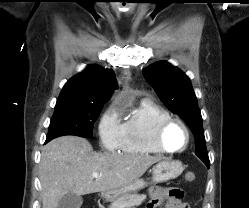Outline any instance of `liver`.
<instances>
[{
  "instance_id": "6515ba94",
  "label": "liver",
  "mask_w": 249,
  "mask_h": 208,
  "mask_svg": "<svg viewBox=\"0 0 249 208\" xmlns=\"http://www.w3.org/2000/svg\"><path fill=\"white\" fill-rule=\"evenodd\" d=\"M162 157L118 153H96L77 136H62L43 149L39 163L42 208H58L68 192L86 195L127 187ZM98 173L97 178L92 177Z\"/></svg>"
}]
</instances>
